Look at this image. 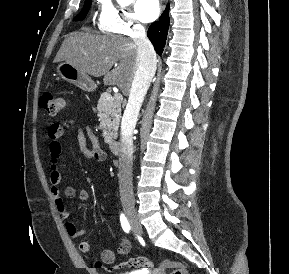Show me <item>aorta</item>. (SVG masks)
Wrapping results in <instances>:
<instances>
[{"label": "aorta", "instance_id": "762f6f07", "mask_svg": "<svg viewBox=\"0 0 289 274\" xmlns=\"http://www.w3.org/2000/svg\"><path fill=\"white\" fill-rule=\"evenodd\" d=\"M131 0H117V2L121 5H127Z\"/></svg>", "mask_w": 289, "mask_h": 274}]
</instances>
